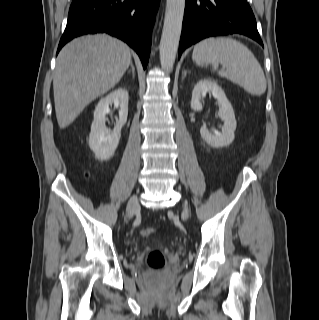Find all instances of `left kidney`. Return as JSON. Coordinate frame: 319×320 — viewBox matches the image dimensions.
<instances>
[{"label":"left kidney","mask_w":319,"mask_h":320,"mask_svg":"<svg viewBox=\"0 0 319 320\" xmlns=\"http://www.w3.org/2000/svg\"><path fill=\"white\" fill-rule=\"evenodd\" d=\"M207 93L212 94L217 99L219 105V116L224 122L222 132L213 131L211 133L206 126L200 129L201 137L206 143L212 147H226L234 140V132L236 130V119L231 103L228 101L222 88L209 79H202L196 83L192 91L191 108L194 111H201V97H205Z\"/></svg>","instance_id":"5707ae66"}]
</instances>
